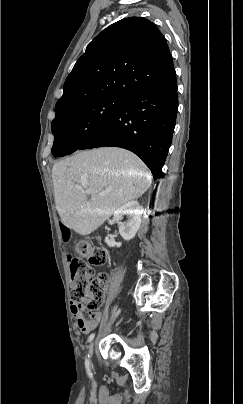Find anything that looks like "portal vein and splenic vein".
Returning a JSON list of instances; mask_svg holds the SVG:
<instances>
[{
  "mask_svg": "<svg viewBox=\"0 0 243 404\" xmlns=\"http://www.w3.org/2000/svg\"><path fill=\"white\" fill-rule=\"evenodd\" d=\"M130 176H132V174H130ZM82 194H90L89 190H83ZM104 194H108V192H101V194H99V196H104Z\"/></svg>",
  "mask_w": 243,
  "mask_h": 404,
  "instance_id": "portal-vein-and-splenic-vein-1",
  "label": "portal vein and splenic vein"
}]
</instances>
